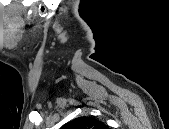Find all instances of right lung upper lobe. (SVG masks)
Returning a JSON list of instances; mask_svg holds the SVG:
<instances>
[{
    "label": "right lung upper lobe",
    "mask_w": 169,
    "mask_h": 129,
    "mask_svg": "<svg viewBox=\"0 0 169 129\" xmlns=\"http://www.w3.org/2000/svg\"><path fill=\"white\" fill-rule=\"evenodd\" d=\"M62 128L64 129H106V126L92 118V117H79L71 122L66 123Z\"/></svg>",
    "instance_id": "obj_1"
}]
</instances>
